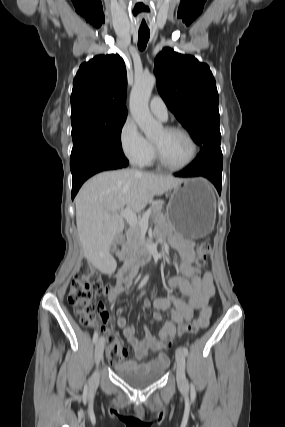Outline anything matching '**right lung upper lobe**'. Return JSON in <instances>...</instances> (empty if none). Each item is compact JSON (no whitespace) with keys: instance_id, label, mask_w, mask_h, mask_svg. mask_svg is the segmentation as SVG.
Here are the masks:
<instances>
[{"instance_id":"cb5924a9","label":"right lung upper lobe","mask_w":285,"mask_h":427,"mask_svg":"<svg viewBox=\"0 0 285 427\" xmlns=\"http://www.w3.org/2000/svg\"><path fill=\"white\" fill-rule=\"evenodd\" d=\"M127 76L123 59L98 55L81 64L73 81L71 117L95 113L127 115Z\"/></svg>"}]
</instances>
